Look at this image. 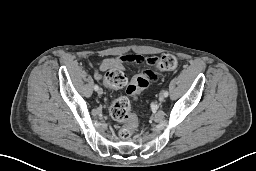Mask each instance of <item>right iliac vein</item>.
I'll use <instances>...</instances> for the list:
<instances>
[{
    "label": "right iliac vein",
    "instance_id": "63e3f726",
    "mask_svg": "<svg viewBox=\"0 0 256 171\" xmlns=\"http://www.w3.org/2000/svg\"><path fill=\"white\" fill-rule=\"evenodd\" d=\"M98 94L99 95L103 94V90L101 88L98 90Z\"/></svg>",
    "mask_w": 256,
    "mask_h": 171
}]
</instances>
